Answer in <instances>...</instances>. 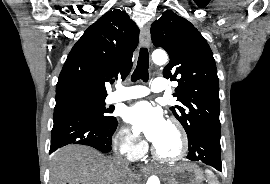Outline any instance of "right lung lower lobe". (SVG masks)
Wrapping results in <instances>:
<instances>
[{
  "mask_svg": "<svg viewBox=\"0 0 270 184\" xmlns=\"http://www.w3.org/2000/svg\"><path fill=\"white\" fill-rule=\"evenodd\" d=\"M117 125L116 121L106 127L90 116L75 110L54 112L49 153L68 144L88 145L103 153H108L112 149V135Z\"/></svg>",
  "mask_w": 270,
  "mask_h": 184,
  "instance_id": "right-lung-lower-lobe-1",
  "label": "right lung lower lobe"
}]
</instances>
